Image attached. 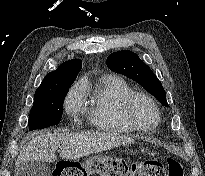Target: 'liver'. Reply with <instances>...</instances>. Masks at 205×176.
<instances>
[{"instance_id": "6515ba94", "label": "liver", "mask_w": 205, "mask_h": 176, "mask_svg": "<svg viewBox=\"0 0 205 176\" xmlns=\"http://www.w3.org/2000/svg\"><path fill=\"white\" fill-rule=\"evenodd\" d=\"M132 142L130 138L106 133H43L33 137L23 147L15 165L17 168L29 161L55 162L58 148L62 158L77 159Z\"/></svg>"}]
</instances>
